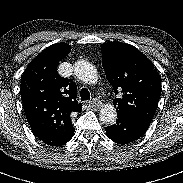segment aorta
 Wrapping results in <instances>:
<instances>
[{
	"mask_svg": "<svg viewBox=\"0 0 183 183\" xmlns=\"http://www.w3.org/2000/svg\"><path fill=\"white\" fill-rule=\"evenodd\" d=\"M74 66V74L79 80L88 84L97 82L99 77L94 65L85 60H79ZM99 119L106 125H113L117 119L116 108L112 104L104 105L100 111Z\"/></svg>",
	"mask_w": 183,
	"mask_h": 183,
	"instance_id": "1",
	"label": "aorta"
}]
</instances>
